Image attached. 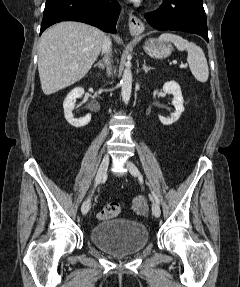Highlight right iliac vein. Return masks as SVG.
Returning <instances> with one entry per match:
<instances>
[{
	"mask_svg": "<svg viewBox=\"0 0 240 287\" xmlns=\"http://www.w3.org/2000/svg\"><path fill=\"white\" fill-rule=\"evenodd\" d=\"M108 166H109V156L108 155H105L102 159V162H101V165L98 169V172H97V175H96V179H95V185H98L102 179L104 178L106 172H107V169H108ZM90 209V198H87L83 204H82V207H81V212L83 215L87 214L88 211Z\"/></svg>",
	"mask_w": 240,
	"mask_h": 287,
	"instance_id": "63e3f726",
	"label": "right iliac vein"
}]
</instances>
